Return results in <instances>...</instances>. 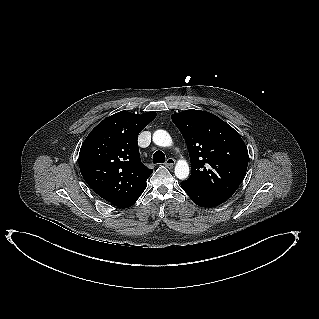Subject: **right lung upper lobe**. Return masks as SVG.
<instances>
[{
	"label": "right lung upper lobe",
	"instance_id": "1",
	"mask_svg": "<svg viewBox=\"0 0 319 319\" xmlns=\"http://www.w3.org/2000/svg\"><path fill=\"white\" fill-rule=\"evenodd\" d=\"M155 117V112H118L100 122L81 146L79 167L84 180L113 205L144 188L153 172L141 162L137 137Z\"/></svg>",
	"mask_w": 319,
	"mask_h": 319
}]
</instances>
